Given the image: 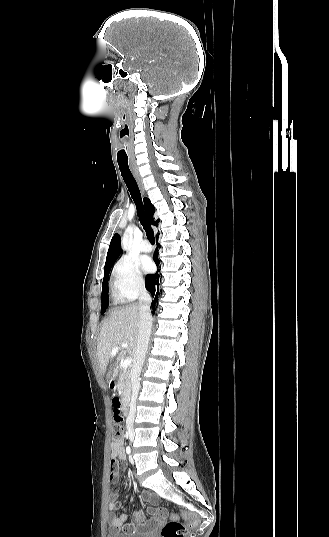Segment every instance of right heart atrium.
Instances as JSON below:
<instances>
[{
  "label": "right heart atrium",
  "mask_w": 329,
  "mask_h": 537,
  "mask_svg": "<svg viewBox=\"0 0 329 537\" xmlns=\"http://www.w3.org/2000/svg\"><path fill=\"white\" fill-rule=\"evenodd\" d=\"M111 285L115 298L120 301L134 300L145 289L137 263L129 258H121L114 264Z\"/></svg>",
  "instance_id": "obj_1"
}]
</instances>
